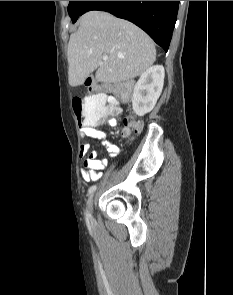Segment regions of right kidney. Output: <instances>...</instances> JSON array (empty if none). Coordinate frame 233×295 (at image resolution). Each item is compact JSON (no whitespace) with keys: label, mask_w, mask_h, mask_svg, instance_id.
Segmentation results:
<instances>
[{"label":"right kidney","mask_w":233,"mask_h":295,"mask_svg":"<svg viewBox=\"0 0 233 295\" xmlns=\"http://www.w3.org/2000/svg\"><path fill=\"white\" fill-rule=\"evenodd\" d=\"M165 71L161 65L148 68L133 88L132 106L138 116H144L155 106L163 89Z\"/></svg>","instance_id":"obj_1"}]
</instances>
